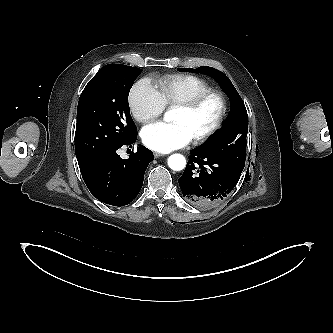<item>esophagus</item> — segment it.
<instances>
[{
	"label": "esophagus",
	"instance_id": "34e87169",
	"mask_svg": "<svg viewBox=\"0 0 333 333\" xmlns=\"http://www.w3.org/2000/svg\"><path fill=\"white\" fill-rule=\"evenodd\" d=\"M162 156H164V155L161 154V153H158V152H154V157L155 158H159V157H162Z\"/></svg>",
	"mask_w": 333,
	"mask_h": 333
}]
</instances>
